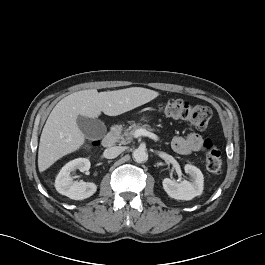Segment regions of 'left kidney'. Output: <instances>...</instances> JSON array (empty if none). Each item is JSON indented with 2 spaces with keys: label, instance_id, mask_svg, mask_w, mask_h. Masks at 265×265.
Masks as SVG:
<instances>
[{
  "label": "left kidney",
  "instance_id": "1",
  "mask_svg": "<svg viewBox=\"0 0 265 265\" xmlns=\"http://www.w3.org/2000/svg\"><path fill=\"white\" fill-rule=\"evenodd\" d=\"M184 170L190 175L191 180L177 183L169 178H164L162 184L165 192L177 200H191L203 192L204 177L200 169L191 164H186Z\"/></svg>",
  "mask_w": 265,
  "mask_h": 265
}]
</instances>
